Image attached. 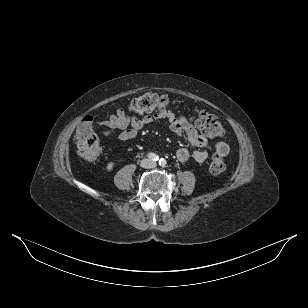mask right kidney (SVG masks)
<instances>
[{
  "label": "right kidney",
  "instance_id": "obj_1",
  "mask_svg": "<svg viewBox=\"0 0 308 308\" xmlns=\"http://www.w3.org/2000/svg\"><path fill=\"white\" fill-rule=\"evenodd\" d=\"M113 167H114V163L110 162V163L107 164L106 169H107V171H111L113 169Z\"/></svg>",
  "mask_w": 308,
  "mask_h": 308
}]
</instances>
